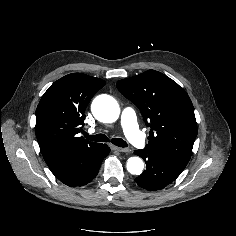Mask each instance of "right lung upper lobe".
Listing matches in <instances>:
<instances>
[{"mask_svg": "<svg viewBox=\"0 0 236 236\" xmlns=\"http://www.w3.org/2000/svg\"><path fill=\"white\" fill-rule=\"evenodd\" d=\"M105 81L82 73H72L54 82L36 109L35 132L43 158L55 169L71 151L97 143L78 137L84 112Z\"/></svg>", "mask_w": 236, "mask_h": 236, "instance_id": "1", "label": "right lung upper lobe"}]
</instances>
